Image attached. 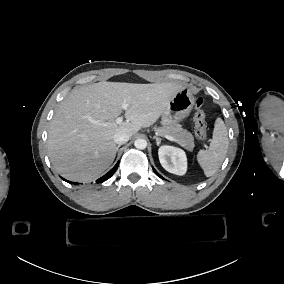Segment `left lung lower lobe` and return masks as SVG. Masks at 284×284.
I'll use <instances>...</instances> for the list:
<instances>
[{"mask_svg": "<svg viewBox=\"0 0 284 284\" xmlns=\"http://www.w3.org/2000/svg\"><path fill=\"white\" fill-rule=\"evenodd\" d=\"M154 172L160 177L163 179V177L153 168Z\"/></svg>", "mask_w": 284, "mask_h": 284, "instance_id": "left-lung-lower-lobe-1", "label": "left lung lower lobe"}]
</instances>
